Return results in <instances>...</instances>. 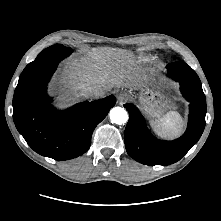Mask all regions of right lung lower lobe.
Masks as SVG:
<instances>
[{
  "label": "right lung lower lobe",
  "mask_w": 221,
  "mask_h": 221,
  "mask_svg": "<svg viewBox=\"0 0 221 221\" xmlns=\"http://www.w3.org/2000/svg\"><path fill=\"white\" fill-rule=\"evenodd\" d=\"M72 50L45 49L20 75L13 97V119L28 145L40 155L63 161L85 153L95 127L115 105L111 95L65 111L51 105L46 87L58 63Z\"/></svg>",
  "instance_id": "obj_1"
}]
</instances>
